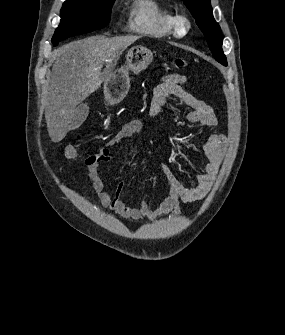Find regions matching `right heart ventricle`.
Here are the masks:
<instances>
[{
	"label": "right heart ventricle",
	"mask_w": 285,
	"mask_h": 335,
	"mask_svg": "<svg viewBox=\"0 0 285 335\" xmlns=\"http://www.w3.org/2000/svg\"><path fill=\"white\" fill-rule=\"evenodd\" d=\"M133 26L142 36L161 39L171 30L170 18L160 1H140L136 6Z\"/></svg>",
	"instance_id": "right-heart-ventricle-1"
}]
</instances>
